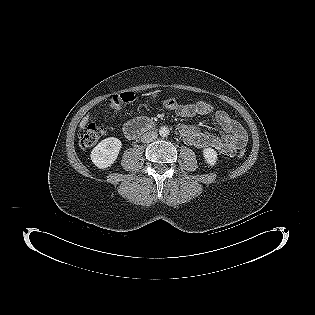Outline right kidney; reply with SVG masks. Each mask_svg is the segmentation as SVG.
Wrapping results in <instances>:
<instances>
[{
  "label": "right kidney",
  "instance_id": "ca27d5eb",
  "mask_svg": "<svg viewBox=\"0 0 315 315\" xmlns=\"http://www.w3.org/2000/svg\"><path fill=\"white\" fill-rule=\"evenodd\" d=\"M121 146V141L114 137L102 140L91 152L92 162L99 169L110 167L116 161Z\"/></svg>",
  "mask_w": 315,
  "mask_h": 315
}]
</instances>
